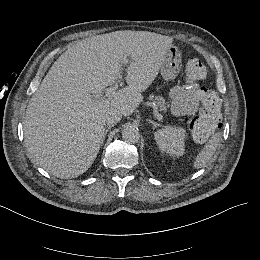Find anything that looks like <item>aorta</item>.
Wrapping results in <instances>:
<instances>
[{
  "label": "aorta",
  "instance_id": "1",
  "mask_svg": "<svg viewBox=\"0 0 260 260\" xmlns=\"http://www.w3.org/2000/svg\"><path fill=\"white\" fill-rule=\"evenodd\" d=\"M122 138L127 143H137L140 134L136 127L134 126H126L122 131Z\"/></svg>",
  "mask_w": 260,
  "mask_h": 260
}]
</instances>
